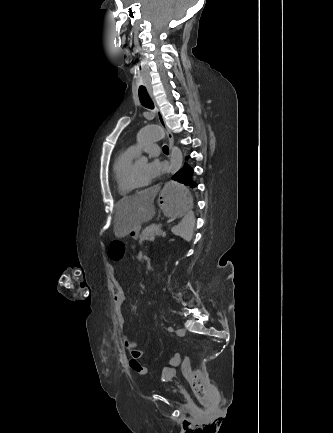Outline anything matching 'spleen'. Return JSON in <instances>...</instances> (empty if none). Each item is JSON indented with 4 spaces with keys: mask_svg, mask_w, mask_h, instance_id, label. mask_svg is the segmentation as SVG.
I'll return each mask as SVG.
<instances>
[{
    "mask_svg": "<svg viewBox=\"0 0 333 433\" xmlns=\"http://www.w3.org/2000/svg\"><path fill=\"white\" fill-rule=\"evenodd\" d=\"M177 183V182H168ZM195 228V217L192 210H188L187 215H184V219L181 220L177 225L171 228L174 235L183 238L184 240L190 242L193 238Z\"/></svg>",
    "mask_w": 333,
    "mask_h": 433,
    "instance_id": "3e777b00",
    "label": "spleen"
}]
</instances>
